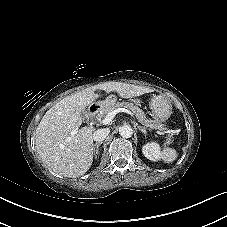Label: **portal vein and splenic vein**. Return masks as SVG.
Listing matches in <instances>:
<instances>
[{
  "label": "portal vein and splenic vein",
  "mask_w": 227,
  "mask_h": 227,
  "mask_svg": "<svg viewBox=\"0 0 227 227\" xmlns=\"http://www.w3.org/2000/svg\"><path fill=\"white\" fill-rule=\"evenodd\" d=\"M119 112H125V113L131 115L133 118H135L134 114H133L130 110H128V109H126V108H118V109H116V110H113V111L109 112V113L102 119L101 122H102L103 124H109V123L114 119L115 115L118 114ZM76 133H77V130H73L71 134L74 135V134H76ZM159 134H163V133H162V132H161V133L159 132Z\"/></svg>",
  "instance_id": "18ae733b"
}]
</instances>
